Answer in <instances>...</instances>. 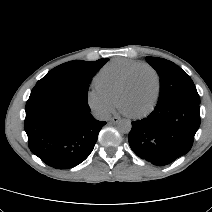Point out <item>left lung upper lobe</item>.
<instances>
[{
    "instance_id": "5c2ea615",
    "label": "left lung upper lobe",
    "mask_w": 212,
    "mask_h": 212,
    "mask_svg": "<svg viewBox=\"0 0 212 212\" xmlns=\"http://www.w3.org/2000/svg\"><path fill=\"white\" fill-rule=\"evenodd\" d=\"M146 60L157 71L161 79L157 104L174 99H186L200 104L193 81L179 66L163 58L146 57Z\"/></svg>"
}]
</instances>
